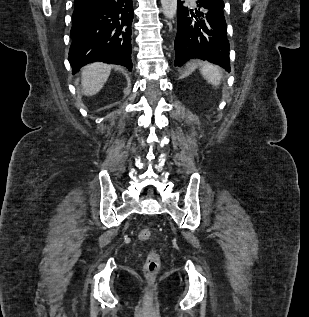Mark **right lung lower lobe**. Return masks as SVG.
Masks as SVG:
<instances>
[{
  "instance_id": "98d812e1",
  "label": "right lung lower lobe",
  "mask_w": 309,
  "mask_h": 317,
  "mask_svg": "<svg viewBox=\"0 0 309 317\" xmlns=\"http://www.w3.org/2000/svg\"><path fill=\"white\" fill-rule=\"evenodd\" d=\"M132 0H75L69 62L72 73L94 61L132 70Z\"/></svg>"
}]
</instances>
